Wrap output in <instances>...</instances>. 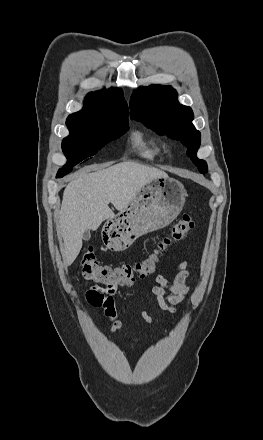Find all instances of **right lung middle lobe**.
Segmentation results:
<instances>
[{
    "label": "right lung middle lobe",
    "mask_w": 263,
    "mask_h": 440,
    "mask_svg": "<svg viewBox=\"0 0 263 440\" xmlns=\"http://www.w3.org/2000/svg\"><path fill=\"white\" fill-rule=\"evenodd\" d=\"M127 116H105L94 118L78 127L68 126L70 135L64 138L62 149L68 159L59 169L61 178L72 171V167L97 153V149L119 138L128 130Z\"/></svg>",
    "instance_id": "obj_1"
}]
</instances>
